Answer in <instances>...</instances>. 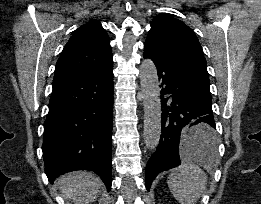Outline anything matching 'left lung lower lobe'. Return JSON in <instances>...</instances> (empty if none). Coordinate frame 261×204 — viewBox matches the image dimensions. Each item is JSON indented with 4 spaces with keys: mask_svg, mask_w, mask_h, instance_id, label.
<instances>
[{
    "mask_svg": "<svg viewBox=\"0 0 261 204\" xmlns=\"http://www.w3.org/2000/svg\"><path fill=\"white\" fill-rule=\"evenodd\" d=\"M144 57L157 67L163 108L160 142L146 166L145 184L149 191L160 172L180 165L181 153H204L199 143L212 140L216 126L207 74L152 43L145 42ZM165 95L171 96L163 98Z\"/></svg>",
    "mask_w": 261,
    "mask_h": 204,
    "instance_id": "0a47b994",
    "label": "left lung lower lobe"
}]
</instances>
